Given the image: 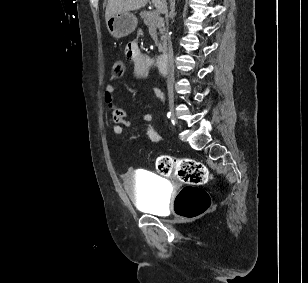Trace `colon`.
<instances>
[{"label": "colon", "instance_id": "colon-1", "mask_svg": "<svg viewBox=\"0 0 308 283\" xmlns=\"http://www.w3.org/2000/svg\"><path fill=\"white\" fill-rule=\"evenodd\" d=\"M124 72V62H115L112 70L113 76L121 77ZM155 166L161 175L175 176L185 184L175 198L174 207L178 215L191 219L202 215L209 209L211 205L209 195L200 188L211 178L205 165L194 159L162 155L156 159Z\"/></svg>", "mask_w": 308, "mask_h": 283}]
</instances>
